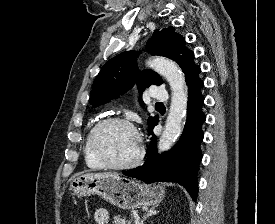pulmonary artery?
<instances>
[{"instance_id": "e3ab8cb5", "label": "pulmonary artery", "mask_w": 275, "mask_h": 224, "mask_svg": "<svg viewBox=\"0 0 275 224\" xmlns=\"http://www.w3.org/2000/svg\"><path fill=\"white\" fill-rule=\"evenodd\" d=\"M151 97L155 101H166L168 99V93L161 87H153L151 90Z\"/></svg>"}]
</instances>
